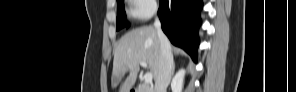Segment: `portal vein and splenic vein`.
I'll return each instance as SVG.
<instances>
[{"label": "portal vein and splenic vein", "mask_w": 296, "mask_h": 92, "mask_svg": "<svg viewBox=\"0 0 296 92\" xmlns=\"http://www.w3.org/2000/svg\"><path fill=\"white\" fill-rule=\"evenodd\" d=\"M140 65L144 68L147 67V63L145 61H140ZM153 76L151 73H146L144 76L145 84H149L152 82Z\"/></svg>", "instance_id": "18ae733b"}]
</instances>
